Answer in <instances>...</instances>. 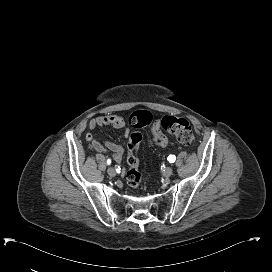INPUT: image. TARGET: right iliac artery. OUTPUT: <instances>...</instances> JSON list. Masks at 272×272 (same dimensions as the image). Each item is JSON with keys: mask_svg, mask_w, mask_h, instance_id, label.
I'll return each instance as SVG.
<instances>
[{"mask_svg": "<svg viewBox=\"0 0 272 272\" xmlns=\"http://www.w3.org/2000/svg\"><path fill=\"white\" fill-rule=\"evenodd\" d=\"M107 163H108V164H110V163H111V161H110V160H107Z\"/></svg>", "mask_w": 272, "mask_h": 272, "instance_id": "1", "label": "right iliac artery"}]
</instances>
